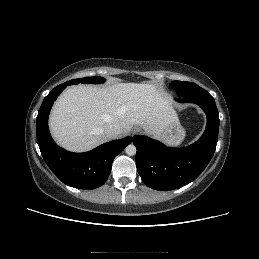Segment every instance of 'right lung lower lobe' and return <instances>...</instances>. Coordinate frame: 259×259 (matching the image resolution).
<instances>
[{"mask_svg":"<svg viewBox=\"0 0 259 259\" xmlns=\"http://www.w3.org/2000/svg\"><path fill=\"white\" fill-rule=\"evenodd\" d=\"M67 86L61 84L45 97L36 118L37 143L46 164L63 183L78 189H95L106 182L114 158L132 139L110 141L85 153H72L57 146L49 132L48 116L53 102Z\"/></svg>","mask_w":259,"mask_h":259,"instance_id":"98d812e1","label":"right lung lower lobe"}]
</instances>
